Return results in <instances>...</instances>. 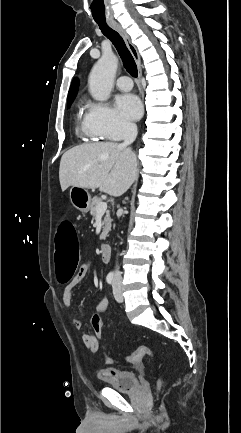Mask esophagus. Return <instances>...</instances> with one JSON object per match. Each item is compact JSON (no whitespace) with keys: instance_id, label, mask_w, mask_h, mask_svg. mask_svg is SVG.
<instances>
[{"instance_id":"34e87169","label":"esophagus","mask_w":241,"mask_h":433,"mask_svg":"<svg viewBox=\"0 0 241 433\" xmlns=\"http://www.w3.org/2000/svg\"><path fill=\"white\" fill-rule=\"evenodd\" d=\"M109 24L111 25V27H113L124 39L129 51L131 52L137 67H138V74H139V78H141L142 75V69H141V61H140V56L137 52V49L135 48V46L132 44V42L130 41V38L128 36V34L126 33V31L121 27L120 24H118L115 21H111L109 22Z\"/></svg>"}]
</instances>
